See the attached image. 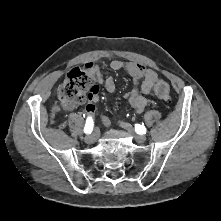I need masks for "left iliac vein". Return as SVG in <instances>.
<instances>
[{"mask_svg":"<svg viewBox=\"0 0 221 221\" xmlns=\"http://www.w3.org/2000/svg\"><path fill=\"white\" fill-rule=\"evenodd\" d=\"M120 126H121L122 128H124L125 130H127L128 132H130V133L133 135L134 139H135L138 143H144V142L146 141V136H144V135H139V134L135 133L134 128H133L130 124L121 122V123H120Z\"/></svg>","mask_w":221,"mask_h":221,"instance_id":"4c4485c4","label":"left iliac vein"}]
</instances>
